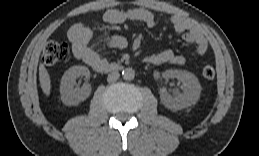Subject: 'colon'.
<instances>
[{
	"mask_svg": "<svg viewBox=\"0 0 259 156\" xmlns=\"http://www.w3.org/2000/svg\"><path fill=\"white\" fill-rule=\"evenodd\" d=\"M69 54V47L65 42L51 40L44 47L42 60L45 65L52 66L63 61ZM205 79L211 80L215 77L212 66H205L202 70Z\"/></svg>",
	"mask_w": 259,
	"mask_h": 156,
	"instance_id": "1",
	"label": "colon"
}]
</instances>
